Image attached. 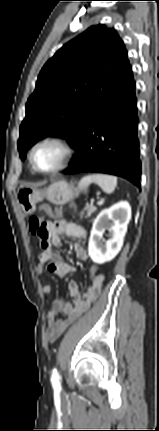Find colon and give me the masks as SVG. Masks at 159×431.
<instances>
[{
    "label": "colon",
    "instance_id": "colon-1",
    "mask_svg": "<svg viewBox=\"0 0 159 431\" xmlns=\"http://www.w3.org/2000/svg\"><path fill=\"white\" fill-rule=\"evenodd\" d=\"M72 208L75 209V206L72 205ZM40 211L45 212L48 215L51 216H55V217H59L61 214V210L60 208L56 209L55 211H52V209L46 205V204H42L39 207ZM44 223L45 220L42 217H31L29 220V229L31 231V233L33 235H43L45 233L44 231ZM98 271V268L95 265H92L90 267V272L91 274H89V279H91V282H94L95 279V273Z\"/></svg>",
    "mask_w": 159,
    "mask_h": 431
}]
</instances>
